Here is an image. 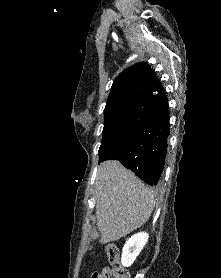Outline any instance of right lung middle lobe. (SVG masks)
Wrapping results in <instances>:
<instances>
[{
  "mask_svg": "<svg viewBox=\"0 0 221 278\" xmlns=\"http://www.w3.org/2000/svg\"><path fill=\"white\" fill-rule=\"evenodd\" d=\"M152 112L146 103H131L106 112L99 159L128 137Z\"/></svg>",
  "mask_w": 221,
  "mask_h": 278,
  "instance_id": "right-lung-middle-lobe-1",
  "label": "right lung middle lobe"
}]
</instances>
